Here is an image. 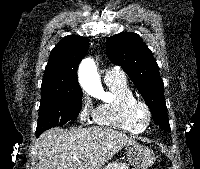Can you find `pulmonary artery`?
<instances>
[{
  "mask_svg": "<svg viewBox=\"0 0 200 169\" xmlns=\"http://www.w3.org/2000/svg\"><path fill=\"white\" fill-rule=\"evenodd\" d=\"M120 77H124V75L121 72L108 71L104 75V80L106 81V80H111V79L120 78Z\"/></svg>",
  "mask_w": 200,
  "mask_h": 169,
  "instance_id": "obj_1",
  "label": "pulmonary artery"
}]
</instances>
